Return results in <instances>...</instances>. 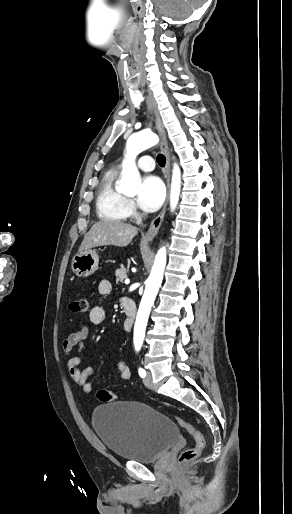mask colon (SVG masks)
Here are the masks:
<instances>
[{"label": "colon", "instance_id": "colon-1", "mask_svg": "<svg viewBox=\"0 0 292 514\" xmlns=\"http://www.w3.org/2000/svg\"><path fill=\"white\" fill-rule=\"evenodd\" d=\"M70 311L73 313H86L89 310V302L86 298L74 299L70 302ZM96 397L101 402L115 401L117 396L109 388H101L97 391ZM178 424L192 437L194 444L182 451L179 456L180 463H186L193 461L198 458L201 452L204 450L206 440L204 434L192 423L188 422L184 418L175 415L174 416Z\"/></svg>", "mask_w": 292, "mask_h": 514}]
</instances>
